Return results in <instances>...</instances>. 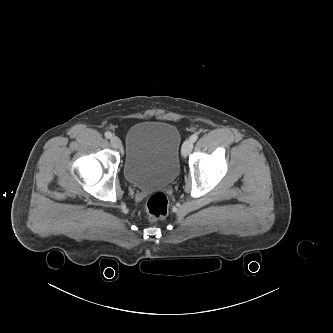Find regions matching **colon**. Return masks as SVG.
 I'll use <instances>...</instances> for the list:
<instances>
[{"label":"colon","instance_id":"obj_1","mask_svg":"<svg viewBox=\"0 0 333 333\" xmlns=\"http://www.w3.org/2000/svg\"><path fill=\"white\" fill-rule=\"evenodd\" d=\"M169 202L168 198L163 193L152 195L146 204L147 219L151 222L162 220L168 213Z\"/></svg>","mask_w":333,"mask_h":333}]
</instances>
